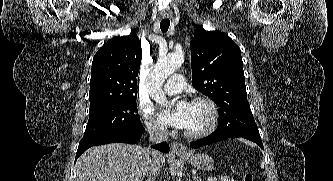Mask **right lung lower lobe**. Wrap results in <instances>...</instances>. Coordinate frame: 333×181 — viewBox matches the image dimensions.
Here are the masks:
<instances>
[{"label":"right lung lower lobe","mask_w":333,"mask_h":181,"mask_svg":"<svg viewBox=\"0 0 333 181\" xmlns=\"http://www.w3.org/2000/svg\"><path fill=\"white\" fill-rule=\"evenodd\" d=\"M144 133V130L138 131L136 133L132 134H126V135H115V136H108L104 138H98L90 141H84L80 142L77 150L76 159L89 147L96 146V145H102V144H108V143H114V142H122V143H130L135 144L138 142ZM154 149H157L161 152L168 153L169 152V145L165 142L154 145Z\"/></svg>","instance_id":"98d812e1"}]
</instances>
